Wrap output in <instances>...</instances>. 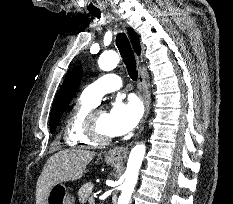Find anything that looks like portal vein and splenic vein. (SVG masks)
I'll return each mask as SVG.
<instances>
[{"label":"portal vein and splenic vein","mask_w":233,"mask_h":204,"mask_svg":"<svg viewBox=\"0 0 233 204\" xmlns=\"http://www.w3.org/2000/svg\"><path fill=\"white\" fill-rule=\"evenodd\" d=\"M91 201H93V202H94V199H93V198H91Z\"/></svg>","instance_id":"1"}]
</instances>
